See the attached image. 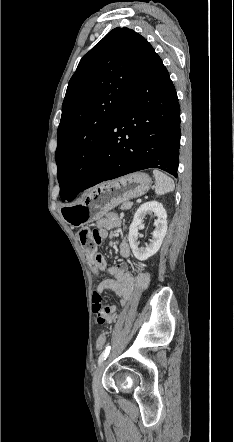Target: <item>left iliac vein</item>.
Returning a JSON list of instances; mask_svg holds the SVG:
<instances>
[{
	"instance_id": "4c4485c4",
	"label": "left iliac vein",
	"mask_w": 234,
	"mask_h": 442,
	"mask_svg": "<svg viewBox=\"0 0 234 442\" xmlns=\"http://www.w3.org/2000/svg\"><path fill=\"white\" fill-rule=\"evenodd\" d=\"M106 366V362L101 363L96 371L94 372L93 382H92V388L94 397L97 401H100L102 399V386H101V378L104 371V368Z\"/></svg>"
}]
</instances>
